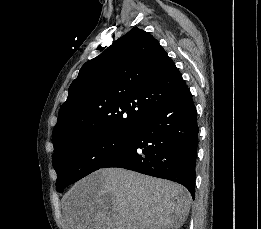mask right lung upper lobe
Here are the masks:
<instances>
[{"instance_id": "1", "label": "right lung upper lobe", "mask_w": 261, "mask_h": 229, "mask_svg": "<svg viewBox=\"0 0 261 229\" xmlns=\"http://www.w3.org/2000/svg\"><path fill=\"white\" fill-rule=\"evenodd\" d=\"M183 81L159 42L133 28L80 69L59 110L54 149L83 133H136Z\"/></svg>"}]
</instances>
